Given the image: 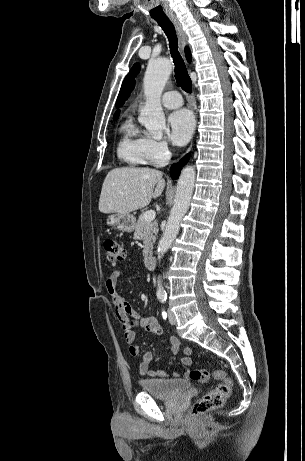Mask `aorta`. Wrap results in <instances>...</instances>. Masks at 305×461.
I'll list each match as a JSON object with an SVG mask.
<instances>
[{
    "mask_svg": "<svg viewBox=\"0 0 305 461\" xmlns=\"http://www.w3.org/2000/svg\"><path fill=\"white\" fill-rule=\"evenodd\" d=\"M171 72L172 64L168 59L151 60L147 66L143 80L144 93L147 100L141 110L139 121L145 126L148 133L157 139L162 137L166 127L160 97ZM194 182L195 169L191 166L185 167L177 183L174 205L171 209L165 231L158 243L157 254L159 259L170 248L179 232L180 222L190 205ZM164 295L165 290L159 277L157 281V296Z\"/></svg>",
    "mask_w": 305,
    "mask_h": 461,
    "instance_id": "762f6f07",
    "label": "aorta"
}]
</instances>
